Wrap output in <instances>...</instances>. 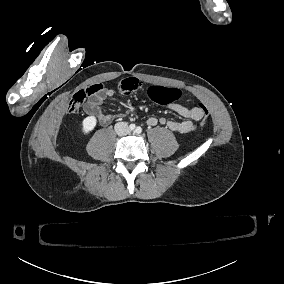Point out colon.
<instances>
[{"instance_id": "obj_1", "label": "colon", "mask_w": 284, "mask_h": 284, "mask_svg": "<svg viewBox=\"0 0 284 284\" xmlns=\"http://www.w3.org/2000/svg\"><path fill=\"white\" fill-rule=\"evenodd\" d=\"M140 86L141 82L137 79H126L121 83L123 93L135 91L140 88ZM101 89L102 85L100 83H95L88 88L76 91L69 101L68 111L70 113H78L86 97L100 92ZM147 96L150 100L156 101L158 104H166L178 101L181 97V91L176 87L162 88L161 86H152L148 89ZM197 106L200 107V110L204 113V117L200 120V123L206 124L207 119L209 118L208 109L202 105L201 102H198Z\"/></svg>"}]
</instances>
